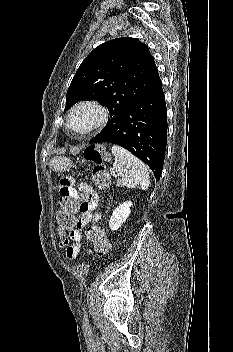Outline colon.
<instances>
[{"label":"colon","mask_w":233,"mask_h":352,"mask_svg":"<svg viewBox=\"0 0 233 352\" xmlns=\"http://www.w3.org/2000/svg\"><path fill=\"white\" fill-rule=\"evenodd\" d=\"M110 160V155L101 145H90L83 153L82 161L94 165L92 170V179L94 184L99 188H106L110 183V174L106 167ZM89 196L85 193L81 196L80 205H85ZM76 202L69 197H63L60 200V209L55 215V222L60 234H65L74 229L76 219L74 216ZM87 237L94 245L95 251L99 256L106 255L111 248L105 228L101 225L94 224L87 229Z\"/></svg>","instance_id":"colon-1"}]
</instances>
